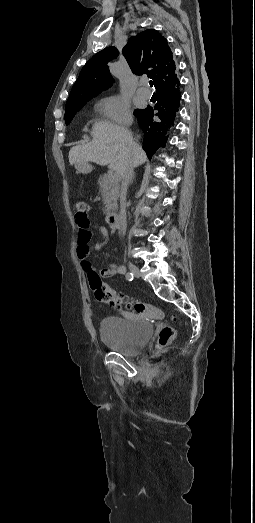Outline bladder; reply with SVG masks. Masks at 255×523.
Segmentation results:
<instances>
[{
	"instance_id": "bladder-1",
	"label": "bladder",
	"mask_w": 255,
	"mask_h": 523,
	"mask_svg": "<svg viewBox=\"0 0 255 523\" xmlns=\"http://www.w3.org/2000/svg\"><path fill=\"white\" fill-rule=\"evenodd\" d=\"M129 324L123 320L102 318L100 337L103 342L113 347L116 352L126 355L136 354L148 343L153 327L139 318H131Z\"/></svg>"
}]
</instances>
